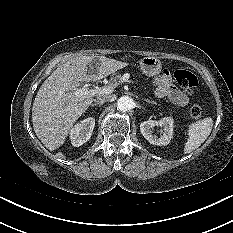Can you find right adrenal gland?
<instances>
[{
	"mask_svg": "<svg viewBox=\"0 0 233 233\" xmlns=\"http://www.w3.org/2000/svg\"><path fill=\"white\" fill-rule=\"evenodd\" d=\"M97 106V104H92L91 107Z\"/></svg>",
	"mask_w": 233,
	"mask_h": 233,
	"instance_id": "obj_1",
	"label": "right adrenal gland"
}]
</instances>
